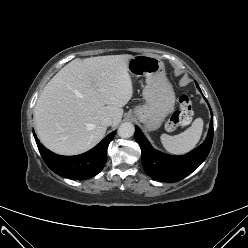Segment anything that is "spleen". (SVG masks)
Listing matches in <instances>:
<instances>
[{
  "mask_svg": "<svg viewBox=\"0 0 248 248\" xmlns=\"http://www.w3.org/2000/svg\"><path fill=\"white\" fill-rule=\"evenodd\" d=\"M203 120L197 118L193 121L191 127L184 132L170 136L162 134L160 139L165 150L171 154H185L195 148L199 142L203 131Z\"/></svg>",
  "mask_w": 248,
  "mask_h": 248,
  "instance_id": "3e777b00",
  "label": "spleen"
}]
</instances>
